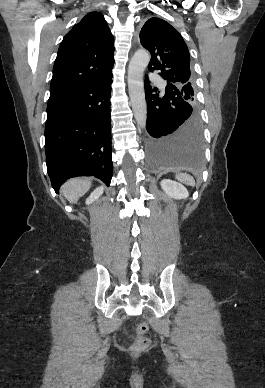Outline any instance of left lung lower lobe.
<instances>
[{"instance_id":"obj_1","label":"left lung lower lobe","mask_w":265,"mask_h":388,"mask_svg":"<svg viewBox=\"0 0 265 388\" xmlns=\"http://www.w3.org/2000/svg\"><path fill=\"white\" fill-rule=\"evenodd\" d=\"M157 93H153V92ZM147 146L152 167L196 171L202 165L203 134L196 107L184 101L177 87L167 84L159 94L145 80Z\"/></svg>"}]
</instances>
